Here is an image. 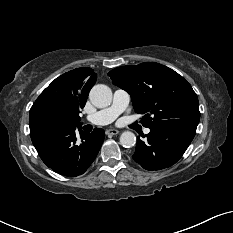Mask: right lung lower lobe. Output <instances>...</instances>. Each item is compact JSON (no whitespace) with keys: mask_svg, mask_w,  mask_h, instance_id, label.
Wrapping results in <instances>:
<instances>
[{"mask_svg":"<svg viewBox=\"0 0 233 233\" xmlns=\"http://www.w3.org/2000/svg\"><path fill=\"white\" fill-rule=\"evenodd\" d=\"M75 129L76 125L64 129L30 126L31 140L42 161L64 176L83 174L96 158L105 137L103 129L86 134L79 128L81 139H78Z\"/></svg>","mask_w":233,"mask_h":233,"instance_id":"1","label":"right lung lower lobe"}]
</instances>
